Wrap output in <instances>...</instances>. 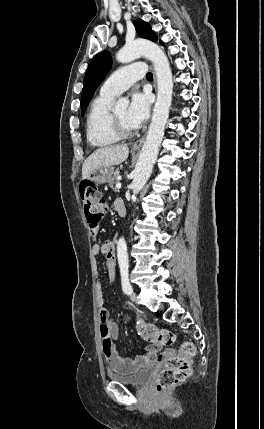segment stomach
Segmentation results:
<instances>
[{"mask_svg":"<svg viewBox=\"0 0 264 429\" xmlns=\"http://www.w3.org/2000/svg\"><path fill=\"white\" fill-rule=\"evenodd\" d=\"M114 173L115 169L113 166H101L95 169L88 178L92 182L103 184L108 182L113 177Z\"/></svg>","mask_w":264,"mask_h":429,"instance_id":"stomach-1","label":"stomach"}]
</instances>
